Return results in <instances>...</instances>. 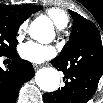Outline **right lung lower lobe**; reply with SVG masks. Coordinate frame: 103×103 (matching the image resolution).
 <instances>
[{
	"label": "right lung lower lobe",
	"mask_w": 103,
	"mask_h": 103,
	"mask_svg": "<svg viewBox=\"0 0 103 103\" xmlns=\"http://www.w3.org/2000/svg\"><path fill=\"white\" fill-rule=\"evenodd\" d=\"M12 59L9 70L0 68V103H15L19 89L23 83L29 81L34 75L30 62L19 58L17 53L6 56Z\"/></svg>",
	"instance_id": "98d812e1"
}]
</instances>
